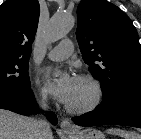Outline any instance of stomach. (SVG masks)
<instances>
[{
    "label": "stomach",
    "instance_id": "obj_1",
    "mask_svg": "<svg viewBox=\"0 0 141 139\" xmlns=\"http://www.w3.org/2000/svg\"><path fill=\"white\" fill-rule=\"evenodd\" d=\"M69 139H105V135L94 128L78 130L74 133H67Z\"/></svg>",
    "mask_w": 141,
    "mask_h": 139
}]
</instances>
